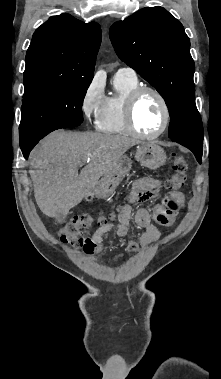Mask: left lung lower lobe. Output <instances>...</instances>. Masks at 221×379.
<instances>
[{
    "instance_id": "0a47b994",
    "label": "left lung lower lobe",
    "mask_w": 221,
    "mask_h": 379,
    "mask_svg": "<svg viewBox=\"0 0 221 379\" xmlns=\"http://www.w3.org/2000/svg\"><path fill=\"white\" fill-rule=\"evenodd\" d=\"M174 142H177L185 147H187L188 149H190L195 157L197 158L198 162L201 163V158H202V152H203V149L202 148H199V147H196L192 144H189V143H185V142H182V141H174Z\"/></svg>"
}]
</instances>
